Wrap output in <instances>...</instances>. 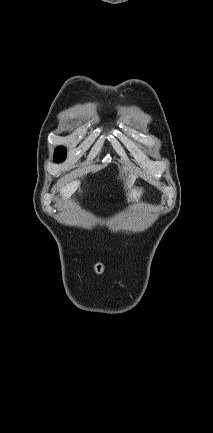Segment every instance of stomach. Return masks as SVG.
I'll return each instance as SVG.
<instances>
[{"mask_svg": "<svg viewBox=\"0 0 213 433\" xmlns=\"http://www.w3.org/2000/svg\"><path fill=\"white\" fill-rule=\"evenodd\" d=\"M143 192L144 191L142 188H135L131 186L126 192V198L130 202L138 201L141 198Z\"/></svg>", "mask_w": 213, "mask_h": 433, "instance_id": "0dacf381", "label": "stomach"}]
</instances>
